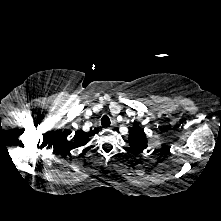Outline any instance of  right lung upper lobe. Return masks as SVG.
I'll list each match as a JSON object with an SVG mask.
<instances>
[{"instance_id":"1","label":"right lung upper lobe","mask_w":221,"mask_h":221,"mask_svg":"<svg viewBox=\"0 0 221 221\" xmlns=\"http://www.w3.org/2000/svg\"><path fill=\"white\" fill-rule=\"evenodd\" d=\"M87 140H88L87 134L76 133L74 138V145L75 147L82 146L86 143Z\"/></svg>"}]
</instances>
